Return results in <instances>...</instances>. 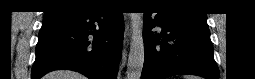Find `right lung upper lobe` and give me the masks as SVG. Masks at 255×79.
<instances>
[{"label":"right lung upper lobe","instance_id":"cb5924a9","mask_svg":"<svg viewBox=\"0 0 255 79\" xmlns=\"http://www.w3.org/2000/svg\"><path fill=\"white\" fill-rule=\"evenodd\" d=\"M98 7L97 4L84 3L83 1H55L50 5L49 11L45 16L73 9H92Z\"/></svg>","mask_w":255,"mask_h":79}]
</instances>
